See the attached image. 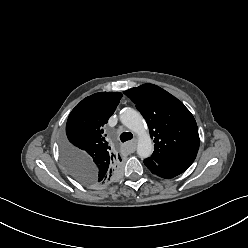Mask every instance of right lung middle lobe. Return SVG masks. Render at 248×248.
<instances>
[{"label": "right lung middle lobe", "mask_w": 248, "mask_h": 248, "mask_svg": "<svg viewBox=\"0 0 248 248\" xmlns=\"http://www.w3.org/2000/svg\"><path fill=\"white\" fill-rule=\"evenodd\" d=\"M67 146V143L64 144L63 148ZM65 167L68 172L79 182L84 183V178L88 176L87 170L79 164H74V166H69L66 161H64Z\"/></svg>", "instance_id": "dd1d6c3e"}]
</instances>
